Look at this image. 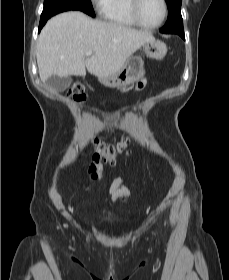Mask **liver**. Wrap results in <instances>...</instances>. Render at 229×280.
Instances as JSON below:
<instances>
[{
    "label": "liver",
    "mask_w": 229,
    "mask_h": 280,
    "mask_svg": "<svg viewBox=\"0 0 229 280\" xmlns=\"http://www.w3.org/2000/svg\"><path fill=\"white\" fill-rule=\"evenodd\" d=\"M152 33L120 24L100 21L76 11L50 19L37 42L40 79L85 76L86 69L97 77L118 72L145 43L154 41ZM92 55L85 59V53Z\"/></svg>",
    "instance_id": "liver-1"
}]
</instances>
